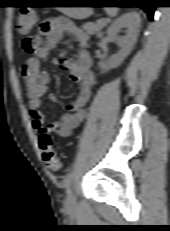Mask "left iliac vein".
<instances>
[{"label":"left iliac vein","instance_id":"left-iliac-vein-1","mask_svg":"<svg viewBox=\"0 0 170 231\" xmlns=\"http://www.w3.org/2000/svg\"><path fill=\"white\" fill-rule=\"evenodd\" d=\"M76 205H77L76 197H75L73 191L70 190V191L68 192V194H67L66 206H67L68 208H74V207H76Z\"/></svg>","mask_w":170,"mask_h":231}]
</instances>
